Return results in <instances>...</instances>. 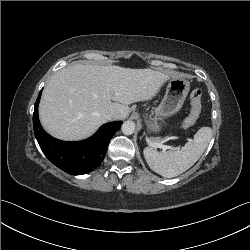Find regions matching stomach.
Segmentation results:
<instances>
[{"label":"stomach","instance_id":"stomach-1","mask_svg":"<svg viewBox=\"0 0 250 250\" xmlns=\"http://www.w3.org/2000/svg\"><path fill=\"white\" fill-rule=\"evenodd\" d=\"M189 89L190 83L184 78L175 77L169 81L160 105L152 110L146 119L149 133H159L165 124L164 120L180 111Z\"/></svg>","mask_w":250,"mask_h":250}]
</instances>
